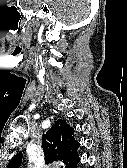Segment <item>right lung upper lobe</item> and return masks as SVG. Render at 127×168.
Masks as SVG:
<instances>
[{"label":"right lung upper lobe","instance_id":"right-lung-upper-lobe-1","mask_svg":"<svg viewBox=\"0 0 127 168\" xmlns=\"http://www.w3.org/2000/svg\"><path fill=\"white\" fill-rule=\"evenodd\" d=\"M74 129L59 119L43 134L42 147L46 163L62 160L65 168H71L79 159L77 149L80 144L73 137ZM21 153L16 154L8 163L7 168H18L21 164Z\"/></svg>","mask_w":127,"mask_h":168}]
</instances>
